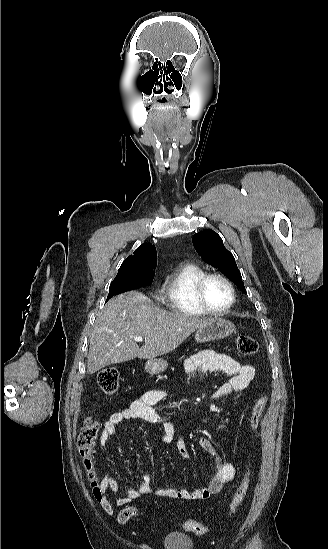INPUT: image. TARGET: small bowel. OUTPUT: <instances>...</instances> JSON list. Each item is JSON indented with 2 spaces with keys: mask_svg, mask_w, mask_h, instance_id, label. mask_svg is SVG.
Listing matches in <instances>:
<instances>
[{
  "mask_svg": "<svg viewBox=\"0 0 328 549\" xmlns=\"http://www.w3.org/2000/svg\"><path fill=\"white\" fill-rule=\"evenodd\" d=\"M184 366L189 377L206 372H223L230 376V379L212 395L213 400L245 390L255 377V368L252 365L240 363L226 354L213 350H204L188 357ZM165 396L164 390L151 389L134 400L127 408L114 412L103 424L100 436L101 446H104L115 434L119 424L133 419L160 426L161 440L166 443L173 441L178 436V430L171 425L166 412L156 408ZM198 445L214 459V472L207 485L195 490L160 486L156 490L158 494L186 501L205 500L219 493L225 484L234 479V466L222 461L207 438H200ZM176 448L184 460L190 459L189 451L181 439L177 440ZM153 484L154 477L145 473L141 476V482L137 488H129L123 495H118L117 480L112 473H107L99 484L101 498L98 501L106 513L112 514L115 506H125L140 496L151 493ZM110 494L115 496L113 500Z\"/></svg>",
  "mask_w": 328,
  "mask_h": 549,
  "instance_id": "c3829d8e",
  "label": "small bowel"
}]
</instances>
